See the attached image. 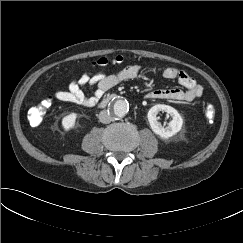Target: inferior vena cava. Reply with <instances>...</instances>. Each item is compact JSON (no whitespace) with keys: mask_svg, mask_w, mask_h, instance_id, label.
I'll use <instances>...</instances> for the list:
<instances>
[{"mask_svg":"<svg viewBox=\"0 0 243 243\" xmlns=\"http://www.w3.org/2000/svg\"><path fill=\"white\" fill-rule=\"evenodd\" d=\"M98 118H99L100 122H102L104 124H108L113 120L111 114L106 110L101 111L99 113Z\"/></svg>","mask_w":243,"mask_h":243,"instance_id":"obj_1","label":"inferior vena cava"}]
</instances>
